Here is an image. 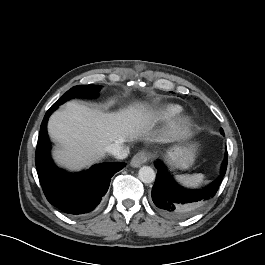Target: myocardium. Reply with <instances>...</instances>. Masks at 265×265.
Here are the masks:
<instances>
[{
    "label": "myocardium",
    "instance_id": "obj_1",
    "mask_svg": "<svg viewBox=\"0 0 265 265\" xmlns=\"http://www.w3.org/2000/svg\"><path fill=\"white\" fill-rule=\"evenodd\" d=\"M191 123V117L183 115L176 120L175 125L179 129V132L183 133L191 126Z\"/></svg>",
    "mask_w": 265,
    "mask_h": 265
}]
</instances>
